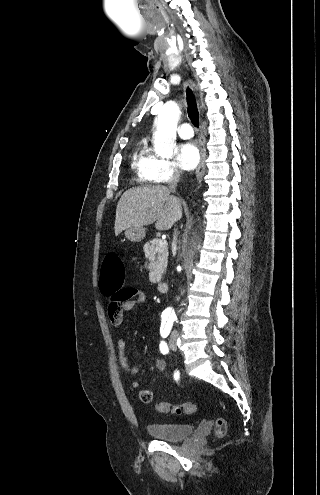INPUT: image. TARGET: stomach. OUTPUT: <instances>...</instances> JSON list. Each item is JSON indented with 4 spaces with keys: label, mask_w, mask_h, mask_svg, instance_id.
Instances as JSON below:
<instances>
[{
    "label": "stomach",
    "mask_w": 320,
    "mask_h": 495,
    "mask_svg": "<svg viewBox=\"0 0 320 495\" xmlns=\"http://www.w3.org/2000/svg\"><path fill=\"white\" fill-rule=\"evenodd\" d=\"M146 234V230L143 227H130L125 229V236L132 242H140Z\"/></svg>",
    "instance_id": "0dacf381"
}]
</instances>
